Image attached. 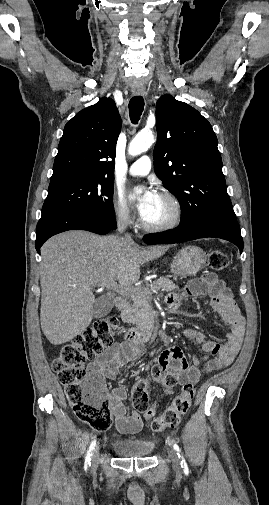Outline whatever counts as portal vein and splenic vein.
I'll return each mask as SVG.
<instances>
[{"mask_svg":"<svg viewBox=\"0 0 269 505\" xmlns=\"http://www.w3.org/2000/svg\"><path fill=\"white\" fill-rule=\"evenodd\" d=\"M107 288L121 294H131L135 292V288H129V286L118 285L116 283L108 284Z\"/></svg>","mask_w":269,"mask_h":505,"instance_id":"obj_1","label":"portal vein and splenic vein"}]
</instances>
